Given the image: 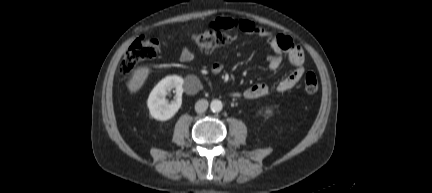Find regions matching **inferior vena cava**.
<instances>
[{
  "label": "inferior vena cava",
  "instance_id": "obj_1",
  "mask_svg": "<svg viewBox=\"0 0 432 193\" xmlns=\"http://www.w3.org/2000/svg\"><path fill=\"white\" fill-rule=\"evenodd\" d=\"M208 108V101L205 99L198 100L195 104V111L197 113H203Z\"/></svg>",
  "mask_w": 432,
  "mask_h": 193
}]
</instances>
